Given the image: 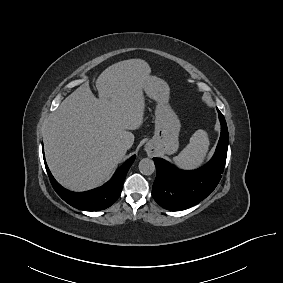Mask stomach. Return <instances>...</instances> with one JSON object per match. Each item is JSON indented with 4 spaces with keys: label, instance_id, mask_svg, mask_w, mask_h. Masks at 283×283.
<instances>
[{
    "label": "stomach",
    "instance_id": "0dacf381",
    "mask_svg": "<svg viewBox=\"0 0 283 283\" xmlns=\"http://www.w3.org/2000/svg\"><path fill=\"white\" fill-rule=\"evenodd\" d=\"M152 79L153 83L146 84L144 91L157 103L155 110V132L153 138L146 144V148L170 155L178 150L181 123L177 114L169 105L170 88L168 84L156 77H152Z\"/></svg>",
    "mask_w": 283,
    "mask_h": 283
}]
</instances>
